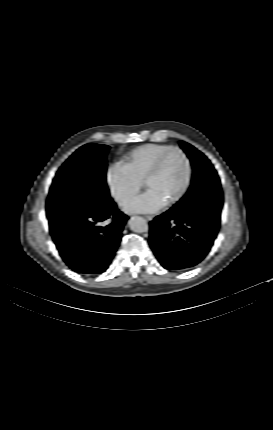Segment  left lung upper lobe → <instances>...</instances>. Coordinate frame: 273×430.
<instances>
[{
	"label": "left lung upper lobe",
	"instance_id": "obj_1",
	"mask_svg": "<svg viewBox=\"0 0 273 430\" xmlns=\"http://www.w3.org/2000/svg\"><path fill=\"white\" fill-rule=\"evenodd\" d=\"M180 146L193 165V178L187 193H196L206 186L221 188L220 179L210 161L190 144L180 141Z\"/></svg>",
	"mask_w": 273,
	"mask_h": 430
}]
</instances>
